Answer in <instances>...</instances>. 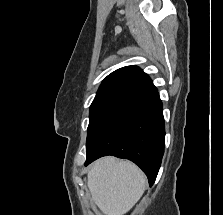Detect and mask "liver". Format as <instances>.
<instances>
[{"label":"liver","instance_id":"1","mask_svg":"<svg viewBox=\"0 0 223 215\" xmlns=\"http://www.w3.org/2000/svg\"><path fill=\"white\" fill-rule=\"evenodd\" d=\"M87 177L92 199L106 215L127 213L143 195L147 183L135 163L111 155L97 159Z\"/></svg>","mask_w":223,"mask_h":215}]
</instances>
